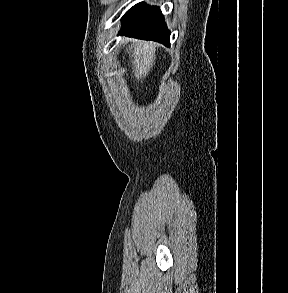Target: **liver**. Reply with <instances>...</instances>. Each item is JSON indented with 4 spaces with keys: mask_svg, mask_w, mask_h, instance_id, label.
Listing matches in <instances>:
<instances>
[{
    "mask_svg": "<svg viewBox=\"0 0 288 293\" xmlns=\"http://www.w3.org/2000/svg\"><path fill=\"white\" fill-rule=\"evenodd\" d=\"M155 51L156 44L153 42L133 40V44L129 46L128 52H132L131 58H133L131 61L133 73L138 82L145 79L153 68L156 59Z\"/></svg>",
    "mask_w": 288,
    "mask_h": 293,
    "instance_id": "6515ba94",
    "label": "liver"
}]
</instances>
